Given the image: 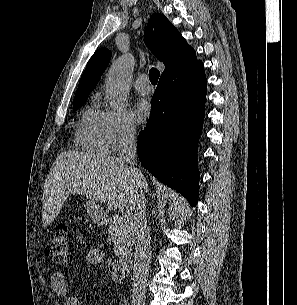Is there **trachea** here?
<instances>
[{"label": "trachea", "instance_id": "obj_1", "mask_svg": "<svg viewBox=\"0 0 297 305\" xmlns=\"http://www.w3.org/2000/svg\"><path fill=\"white\" fill-rule=\"evenodd\" d=\"M160 72L156 68H151L149 71V80L153 85H156L159 79Z\"/></svg>", "mask_w": 297, "mask_h": 305}]
</instances>
